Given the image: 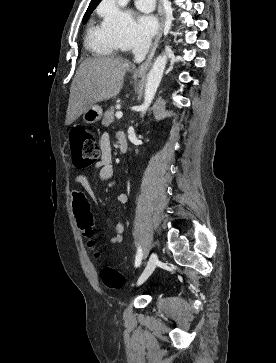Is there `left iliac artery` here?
Here are the masks:
<instances>
[{"mask_svg": "<svg viewBox=\"0 0 276 363\" xmlns=\"http://www.w3.org/2000/svg\"><path fill=\"white\" fill-rule=\"evenodd\" d=\"M142 256H143L142 249H141V247H138V251H137V255H136V259H135V267L140 266Z\"/></svg>", "mask_w": 276, "mask_h": 363, "instance_id": "44dca946", "label": "left iliac artery"}]
</instances>
